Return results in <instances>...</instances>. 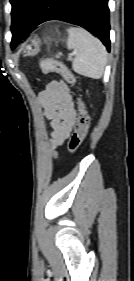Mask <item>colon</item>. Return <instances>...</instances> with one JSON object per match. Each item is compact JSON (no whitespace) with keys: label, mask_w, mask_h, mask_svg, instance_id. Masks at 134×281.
Wrapping results in <instances>:
<instances>
[{"label":"colon","mask_w":134,"mask_h":281,"mask_svg":"<svg viewBox=\"0 0 134 281\" xmlns=\"http://www.w3.org/2000/svg\"><path fill=\"white\" fill-rule=\"evenodd\" d=\"M43 73L55 72L60 74L64 80L70 85H75L76 79L67 67L60 61L54 59H44L40 63ZM90 125L88 111L82 100L78 99V117L74 129V133L69 142V150L74 152L87 136Z\"/></svg>","instance_id":"colon-1"}]
</instances>
